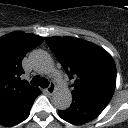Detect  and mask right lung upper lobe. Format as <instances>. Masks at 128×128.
<instances>
[{
    "mask_svg": "<svg viewBox=\"0 0 128 128\" xmlns=\"http://www.w3.org/2000/svg\"><path fill=\"white\" fill-rule=\"evenodd\" d=\"M44 41L43 37L13 32L0 37V113L36 88L20 79L24 56Z\"/></svg>",
    "mask_w": 128,
    "mask_h": 128,
    "instance_id": "cb5924a9",
    "label": "right lung upper lobe"
}]
</instances>
